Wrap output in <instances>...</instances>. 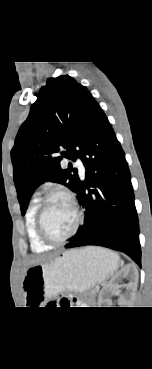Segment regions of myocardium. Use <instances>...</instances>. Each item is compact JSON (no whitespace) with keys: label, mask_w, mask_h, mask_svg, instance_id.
<instances>
[{"label":"myocardium","mask_w":152,"mask_h":369,"mask_svg":"<svg viewBox=\"0 0 152 369\" xmlns=\"http://www.w3.org/2000/svg\"><path fill=\"white\" fill-rule=\"evenodd\" d=\"M55 197H63L65 199H67L69 201V203L71 204V206L74 209L75 215H76V222L75 225L72 229V231L66 235L63 238H53L52 236L49 235V233L47 232L45 225H44V215H45V211L47 208L48 203L50 202L51 199L55 198ZM83 222V213L76 201V199L74 198V196L65 190H55V191H51L49 193H47L41 200L39 203V207L37 210V214H36V229L38 232L39 237L41 238V240L48 244V245H60L63 244L64 242H66L67 240H69L70 238H72L79 230L80 226L82 225Z\"/></svg>","instance_id":"f54148a6"}]
</instances>
